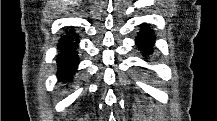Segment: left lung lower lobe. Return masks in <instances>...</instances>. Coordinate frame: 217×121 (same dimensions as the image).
Masks as SVG:
<instances>
[{
  "instance_id": "1",
  "label": "left lung lower lobe",
  "mask_w": 217,
  "mask_h": 121,
  "mask_svg": "<svg viewBox=\"0 0 217 121\" xmlns=\"http://www.w3.org/2000/svg\"><path fill=\"white\" fill-rule=\"evenodd\" d=\"M155 43V36L150 28H146L145 24L141 31L136 36V45L142 50L144 56H148L153 52V44Z\"/></svg>"
}]
</instances>
